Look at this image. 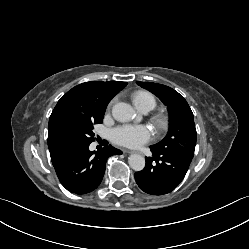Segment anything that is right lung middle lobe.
<instances>
[{"mask_svg": "<svg viewBox=\"0 0 249 249\" xmlns=\"http://www.w3.org/2000/svg\"><path fill=\"white\" fill-rule=\"evenodd\" d=\"M104 115L98 117L95 121L86 122L70 128L68 132L70 143L74 148L89 145L94 141V125L103 122Z\"/></svg>", "mask_w": 249, "mask_h": 249, "instance_id": "obj_1", "label": "right lung middle lobe"}]
</instances>
